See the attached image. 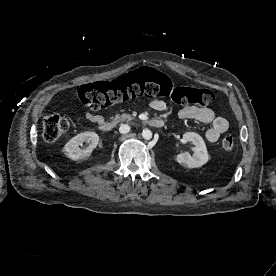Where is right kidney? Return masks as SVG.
I'll list each match as a JSON object with an SVG mask.
<instances>
[{"label": "right kidney", "mask_w": 276, "mask_h": 276, "mask_svg": "<svg viewBox=\"0 0 276 276\" xmlns=\"http://www.w3.org/2000/svg\"><path fill=\"white\" fill-rule=\"evenodd\" d=\"M84 142H88L89 146L85 149H81L79 146ZM98 142L99 136L97 133L93 131L82 132L74 136L65 144L63 152L72 160H85L91 155L92 150L96 148Z\"/></svg>", "instance_id": "right-kidney-1"}]
</instances>
